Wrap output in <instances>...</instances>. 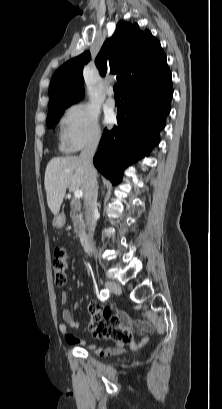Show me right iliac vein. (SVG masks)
<instances>
[{
    "mask_svg": "<svg viewBox=\"0 0 222 409\" xmlns=\"http://www.w3.org/2000/svg\"><path fill=\"white\" fill-rule=\"evenodd\" d=\"M105 287H106L110 292H113V293H116V294H120V293H121V287L119 286V284H117V283L114 282V281H106V282H105Z\"/></svg>",
    "mask_w": 222,
    "mask_h": 409,
    "instance_id": "1",
    "label": "right iliac vein"
}]
</instances>
